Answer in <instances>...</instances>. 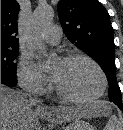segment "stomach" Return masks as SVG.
I'll return each instance as SVG.
<instances>
[{
  "label": "stomach",
  "instance_id": "stomach-1",
  "mask_svg": "<svg viewBox=\"0 0 123 130\" xmlns=\"http://www.w3.org/2000/svg\"><path fill=\"white\" fill-rule=\"evenodd\" d=\"M63 130H94V127L84 120L77 119L72 121Z\"/></svg>",
  "mask_w": 123,
  "mask_h": 130
}]
</instances>
